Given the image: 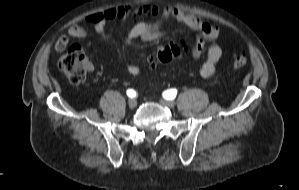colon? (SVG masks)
Here are the masks:
<instances>
[{
	"label": "colon",
	"instance_id": "obj_1",
	"mask_svg": "<svg viewBox=\"0 0 299 190\" xmlns=\"http://www.w3.org/2000/svg\"><path fill=\"white\" fill-rule=\"evenodd\" d=\"M183 47L178 43L160 48L158 53L151 58L152 66L167 64L181 56ZM247 63V54L244 51H239L232 56V66L241 68ZM59 67L66 75L69 81L74 85H82L86 81L87 60L82 47L78 44L71 45L67 52L60 58Z\"/></svg>",
	"mask_w": 299,
	"mask_h": 190
}]
</instances>
